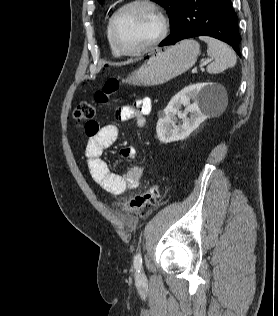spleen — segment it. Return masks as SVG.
Wrapping results in <instances>:
<instances>
[{
	"instance_id": "spleen-1",
	"label": "spleen",
	"mask_w": 278,
	"mask_h": 316,
	"mask_svg": "<svg viewBox=\"0 0 278 316\" xmlns=\"http://www.w3.org/2000/svg\"><path fill=\"white\" fill-rule=\"evenodd\" d=\"M199 39L208 44L207 54L214 58V61L207 67L209 73H219L235 66L237 58L228 45L208 36H200Z\"/></svg>"
}]
</instances>
